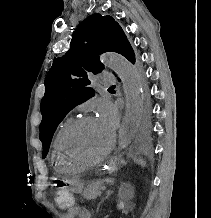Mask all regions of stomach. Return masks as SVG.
<instances>
[{
  "instance_id": "stomach-1",
  "label": "stomach",
  "mask_w": 211,
  "mask_h": 218,
  "mask_svg": "<svg viewBox=\"0 0 211 218\" xmlns=\"http://www.w3.org/2000/svg\"><path fill=\"white\" fill-rule=\"evenodd\" d=\"M115 169H116L115 163H110L106 168V170L109 173L114 172ZM64 182L68 185L69 189L74 193H81L84 189V182L80 180L78 176H69L65 179Z\"/></svg>"
}]
</instances>
